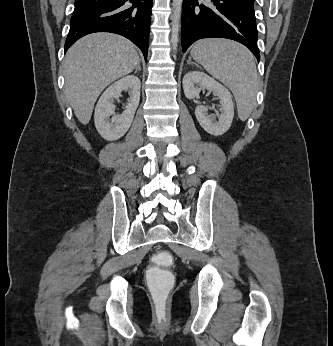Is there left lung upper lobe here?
Wrapping results in <instances>:
<instances>
[{"label": "left lung upper lobe", "instance_id": "5c2ea615", "mask_svg": "<svg viewBox=\"0 0 333 346\" xmlns=\"http://www.w3.org/2000/svg\"><path fill=\"white\" fill-rule=\"evenodd\" d=\"M242 1L245 2V3H248L249 5L254 6V1L255 0H242Z\"/></svg>", "mask_w": 333, "mask_h": 346}]
</instances>
